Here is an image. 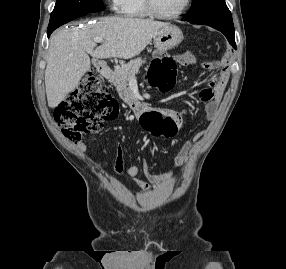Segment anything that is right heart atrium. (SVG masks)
Instances as JSON below:
<instances>
[{"label":"right heart atrium","instance_id":"obj_1","mask_svg":"<svg viewBox=\"0 0 286 269\" xmlns=\"http://www.w3.org/2000/svg\"><path fill=\"white\" fill-rule=\"evenodd\" d=\"M107 1L111 9L118 10V5L120 0H107Z\"/></svg>","mask_w":286,"mask_h":269}]
</instances>
